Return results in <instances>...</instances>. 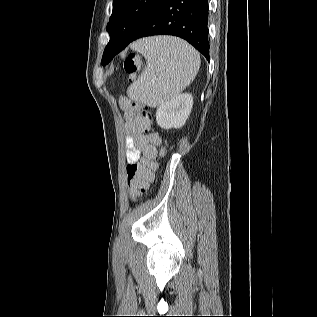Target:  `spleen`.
Returning <instances> with one entry per match:
<instances>
[{"label":"spleen","instance_id":"1","mask_svg":"<svg viewBox=\"0 0 317 317\" xmlns=\"http://www.w3.org/2000/svg\"><path fill=\"white\" fill-rule=\"evenodd\" d=\"M131 48L145 57L147 67L129 86L127 94L150 107L161 106L178 96L195 79L200 68L198 52L176 37L144 38Z\"/></svg>","mask_w":317,"mask_h":317}]
</instances>
